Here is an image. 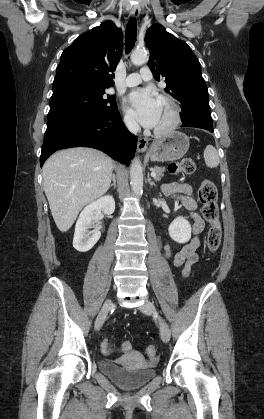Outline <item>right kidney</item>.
Here are the masks:
<instances>
[{
    "instance_id": "right-kidney-1",
    "label": "right kidney",
    "mask_w": 264,
    "mask_h": 419,
    "mask_svg": "<svg viewBox=\"0 0 264 419\" xmlns=\"http://www.w3.org/2000/svg\"><path fill=\"white\" fill-rule=\"evenodd\" d=\"M115 210V200L112 196H103L87 205L79 215L75 226L73 247L79 252L89 251L101 236L100 226L98 225L101 211L106 215H111ZM94 225V230L88 232L87 229Z\"/></svg>"
}]
</instances>
